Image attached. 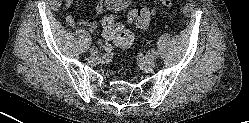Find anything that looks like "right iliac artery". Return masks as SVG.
Segmentation results:
<instances>
[{
	"instance_id": "1",
	"label": "right iliac artery",
	"mask_w": 249,
	"mask_h": 123,
	"mask_svg": "<svg viewBox=\"0 0 249 123\" xmlns=\"http://www.w3.org/2000/svg\"><path fill=\"white\" fill-rule=\"evenodd\" d=\"M103 49H104V51L108 52L111 50V47H110V45L106 44V45H104Z\"/></svg>"
}]
</instances>
